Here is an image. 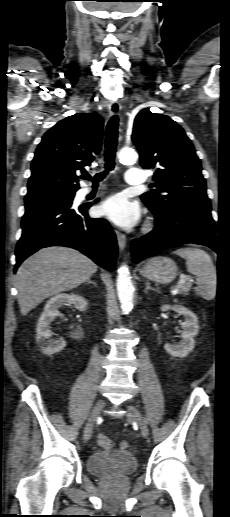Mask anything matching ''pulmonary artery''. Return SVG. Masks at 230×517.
<instances>
[{"label": "pulmonary artery", "instance_id": "1", "mask_svg": "<svg viewBox=\"0 0 230 517\" xmlns=\"http://www.w3.org/2000/svg\"><path fill=\"white\" fill-rule=\"evenodd\" d=\"M125 180L128 185H140L146 181V174L141 169L129 168Z\"/></svg>", "mask_w": 230, "mask_h": 517}]
</instances>
